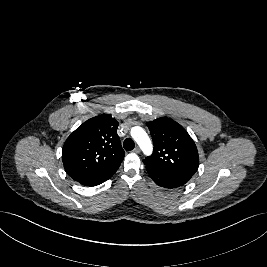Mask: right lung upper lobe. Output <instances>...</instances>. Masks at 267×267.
<instances>
[{
  "label": "right lung upper lobe",
  "mask_w": 267,
  "mask_h": 267,
  "mask_svg": "<svg viewBox=\"0 0 267 267\" xmlns=\"http://www.w3.org/2000/svg\"><path fill=\"white\" fill-rule=\"evenodd\" d=\"M110 115L93 117L81 124L65 141L62 160L65 171L75 181L110 168L124 159L117 127Z\"/></svg>",
  "instance_id": "cb5924a9"
}]
</instances>
